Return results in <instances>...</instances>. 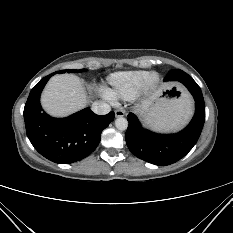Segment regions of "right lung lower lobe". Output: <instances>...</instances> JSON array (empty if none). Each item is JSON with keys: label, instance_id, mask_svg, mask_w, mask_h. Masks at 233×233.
Returning a JSON list of instances; mask_svg holds the SVG:
<instances>
[{"label": "right lung lower lobe", "instance_id": "98d812e1", "mask_svg": "<svg viewBox=\"0 0 233 233\" xmlns=\"http://www.w3.org/2000/svg\"><path fill=\"white\" fill-rule=\"evenodd\" d=\"M52 73L30 92L24 107L27 136L34 148L47 159L69 164L87 157L98 146L101 133L114 119V112L96 115L85 108L66 118L42 112L40 94Z\"/></svg>", "mask_w": 233, "mask_h": 233}]
</instances>
